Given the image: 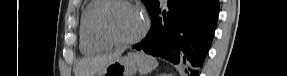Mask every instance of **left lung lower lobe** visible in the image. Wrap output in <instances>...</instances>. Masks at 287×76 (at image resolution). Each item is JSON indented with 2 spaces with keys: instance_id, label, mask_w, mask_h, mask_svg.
<instances>
[{
  "instance_id": "1",
  "label": "left lung lower lobe",
  "mask_w": 287,
  "mask_h": 76,
  "mask_svg": "<svg viewBox=\"0 0 287 76\" xmlns=\"http://www.w3.org/2000/svg\"><path fill=\"white\" fill-rule=\"evenodd\" d=\"M163 12L159 3L150 11L149 33L133 48L188 66V74L198 76L211 45L219 14V0H168Z\"/></svg>"
}]
</instances>
